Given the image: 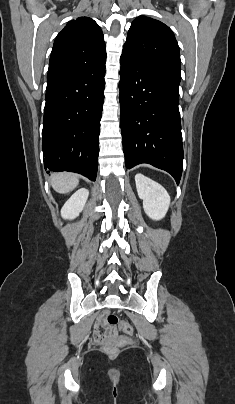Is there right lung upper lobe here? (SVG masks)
<instances>
[{"label":"right lung upper lobe","mask_w":235,"mask_h":404,"mask_svg":"<svg viewBox=\"0 0 235 404\" xmlns=\"http://www.w3.org/2000/svg\"><path fill=\"white\" fill-rule=\"evenodd\" d=\"M106 61L104 35L97 23L80 17L67 23L57 35L48 73Z\"/></svg>","instance_id":"cb5924a9"}]
</instances>
